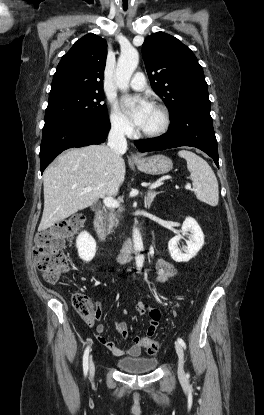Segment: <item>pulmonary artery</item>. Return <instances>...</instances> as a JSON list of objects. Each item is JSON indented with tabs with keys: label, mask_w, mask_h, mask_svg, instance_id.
Here are the masks:
<instances>
[{
	"label": "pulmonary artery",
	"mask_w": 264,
	"mask_h": 415,
	"mask_svg": "<svg viewBox=\"0 0 264 415\" xmlns=\"http://www.w3.org/2000/svg\"><path fill=\"white\" fill-rule=\"evenodd\" d=\"M129 85L132 89L141 91L146 88V79L141 72H137L133 75L132 79L129 82Z\"/></svg>",
	"instance_id": "e3ab8cb5"
}]
</instances>
